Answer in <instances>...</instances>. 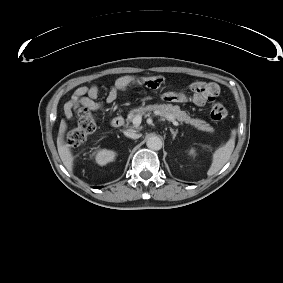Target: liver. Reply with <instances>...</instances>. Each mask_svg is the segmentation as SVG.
Instances as JSON below:
<instances>
[{
    "label": "liver",
    "mask_w": 283,
    "mask_h": 283,
    "mask_svg": "<svg viewBox=\"0 0 283 283\" xmlns=\"http://www.w3.org/2000/svg\"><path fill=\"white\" fill-rule=\"evenodd\" d=\"M66 129H67V124L63 119L61 120L60 123V128L57 138V148L61 161L63 162V165L67 168V170L72 171L74 156L70 150V145L66 144L64 141V134Z\"/></svg>",
    "instance_id": "6515ba94"
}]
</instances>
